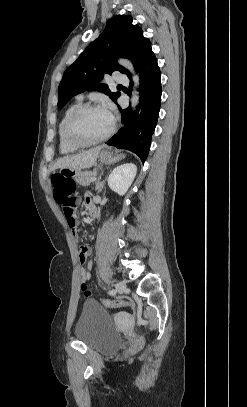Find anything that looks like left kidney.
Instances as JSON below:
<instances>
[{"mask_svg":"<svg viewBox=\"0 0 247 407\" xmlns=\"http://www.w3.org/2000/svg\"><path fill=\"white\" fill-rule=\"evenodd\" d=\"M137 173L134 163H125L116 167L108 177L111 190L123 196L131 186Z\"/></svg>","mask_w":247,"mask_h":407,"instance_id":"1","label":"left kidney"}]
</instances>
